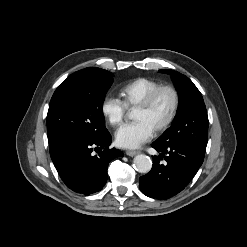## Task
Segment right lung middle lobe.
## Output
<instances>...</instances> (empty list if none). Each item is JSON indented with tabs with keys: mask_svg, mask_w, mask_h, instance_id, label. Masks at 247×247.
Here are the masks:
<instances>
[{
	"mask_svg": "<svg viewBox=\"0 0 247 247\" xmlns=\"http://www.w3.org/2000/svg\"><path fill=\"white\" fill-rule=\"evenodd\" d=\"M113 74L89 67L67 77L54 92L47 114L49 149L103 135V102Z\"/></svg>",
	"mask_w": 247,
	"mask_h": 247,
	"instance_id": "right-lung-middle-lobe-1",
	"label": "right lung middle lobe"
}]
</instances>
